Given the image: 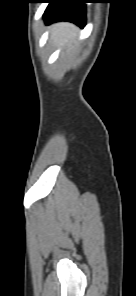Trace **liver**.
<instances>
[{
  "mask_svg": "<svg viewBox=\"0 0 136 296\" xmlns=\"http://www.w3.org/2000/svg\"><path fill=\"white\" fill-rule=\"evenodd\" d=\"M77 32V27L70 23H57L51 28L50 39L57 47L66 46L67 51H69Z\"/></svg>",
  "mask_w": 136,
  "mask_h": 296,
  "instance_id": "1",
  "label": "liver"
}]
</instances>
